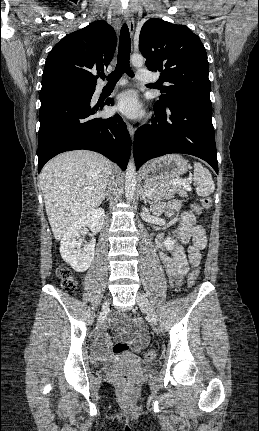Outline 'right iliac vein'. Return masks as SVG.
Returning a JSON list of instances; mask_svg holds the SVG:
<instances>
[{"instance_id": "right-iliac-vein-1", "label": "right iliac vein", "mask_w": 259, "mask_h": 431, "mask_svg": "<svg viewBox=\"0 0 259 431\" xmlns=\"http://www.w3.org/2000/svg\"><path fill=\"white\" fill-rule=\"evenodd\" d=\"M109 309V301H106L102 307V314Z\"/></svg>"}]
</instances>
